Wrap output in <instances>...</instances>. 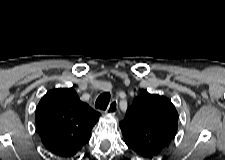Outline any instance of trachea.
<instances>
[{
	"mask_svg": "<svg viewBox=\"0 0 225 160\" xmlns=\"http://www.w3.org/2000/svg\"><path fill=\"white\" fill-rule=\"evenodd\" d=\"M109 101H110V93L109 92L102 93L100 96H98L95 102V107L97 109L106 110Z\"/></svg>",
	"mask_w": 225,
	"mask_h": 160,
	"instance_id": "obj_1",
	"label": "trachea"
}]
</instances>
